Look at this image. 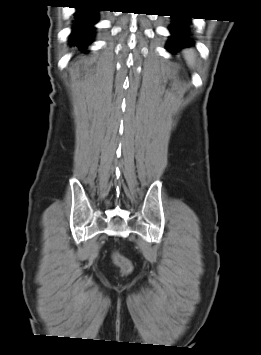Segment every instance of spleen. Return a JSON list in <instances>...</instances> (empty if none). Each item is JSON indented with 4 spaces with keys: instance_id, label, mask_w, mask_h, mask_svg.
<instances>
[{
    "instance_id": "1",
    "label": "spleen",
    "mask_w": 261,
    "mask_h": 355,
    "mask_svg": "<svg viewBox=\"0 0 261 355\" xmlns=\"http://www.w3.org/2000/svg\"><path fill=\"white\" fill-rule=\"evenodd\" d=\"M184 58L190 68H194L196 61V54L193 49H186L183 51Z\"/></svg>"
}]
</instances>
